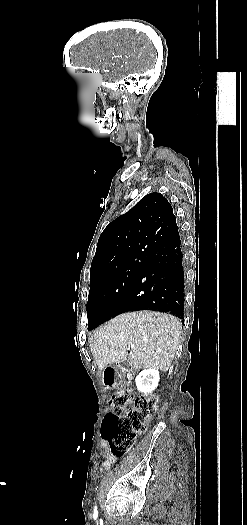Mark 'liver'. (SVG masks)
<instances>
[{
	"label": "liver",
	"mask_w": 247,
	"mask_h": 525,
	"mask_svg": "<svg viewBox=\"0 0 247 525\" xmlns=\"http://www.w3.org/2000/svg\"><path fill=\"white\" fill-rule=\"evenodd\" d=\"M181 329L179 319L167 313H123L91 335L90 349L99 371L129 361L135 369L167 373L180 345Z\"/></svg>",
	"instance_id": "1"
}]
</instances>
